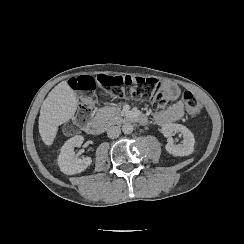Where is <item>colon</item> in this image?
<instances>
[{
	"label": "colon",
	"mask_w": 244,
	"mask_h": 244,
	"mask_svg": "<svg viewBox=\"0 0 244 244\" xmlns=\"http://www.w3.org/2000/svg\"><path fill=\"white\" fill-rule=\"evenodd\" d=\"M69 85L72 90L83 94L81 97L83 102L75 117L64 123V132L69 135L78 133L83 129L84 124L90 121L95 110L94 102L97 100L95 90L97 87L106 89L113 98L152 99L160 107L168 103L163 82L153 77L82 74L72 77ZM182 100L186 105V115L190 118L198 117L203 107L201 100L189 90L183 92Z\"/></svg>",
	"instance_id": "5ec220e1"
}]
</instances>
